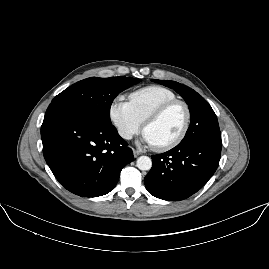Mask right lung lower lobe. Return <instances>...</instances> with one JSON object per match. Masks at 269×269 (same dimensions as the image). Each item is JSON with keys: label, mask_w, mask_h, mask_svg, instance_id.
<instances>
[{"label": "right lung lower lobe", "mask_w": 269, "mask_h": 269, "mask_svg": "<svg viewBox=\"0 0 269 269\" xmlns=\"http://www.w3.org/2000/svg\"><path fill=\"white\" fill-rule=\"evenodd\" d=\"M43 155L56 179L81 197L102 196L117 184L133 152L112 124L49 105L41 126Z\"/></svg>", "instance_id": "obj_1"}]
</instances>
